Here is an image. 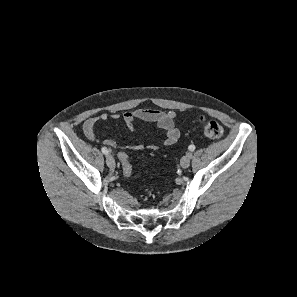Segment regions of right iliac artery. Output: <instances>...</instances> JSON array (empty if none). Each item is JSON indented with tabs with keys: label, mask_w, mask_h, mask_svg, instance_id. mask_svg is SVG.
Here are the masks:
<instances>
[{
	"label": "right iliac artery",
	"mask_w": 297,
	"mask_h": 297,
	"mask_svg": "<svg viewBox=\"0 0 297 297\" xmlns=\"http://www.w3.org/2000/svg\"><path fill=\"white\" fill-rule=\"evenodd\" d=\"M101 151L105 155H108V153H109V151H108V149L106 147H102Z\"/></svg>",
	"instance_id": "1"
}]
</instances>
